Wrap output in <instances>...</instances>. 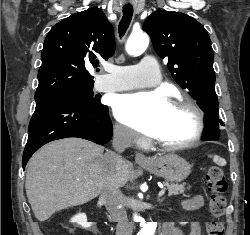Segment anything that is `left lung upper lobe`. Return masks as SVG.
Wrapping results in <instances>:
<instances>
[{
  "instance_id": "5c2ea615",
  "label": "left lung upper lobe",
  "mask_w": 250,
  "mask_h": 235,
  "mask_svg": "<svg viewBox=\"0 0 250 235\" xmlns=\"http://www.w3.org/2000/svg\"><path fill=\"white\" fill-rule=\"evenodd\" d=\"M143 30L150 35L156 53L168 59L175 81L189 91L206 114L218 112L214 53L206 29L184 13L161 10L147 18Z\"/></svg>"
}]
</instances>
